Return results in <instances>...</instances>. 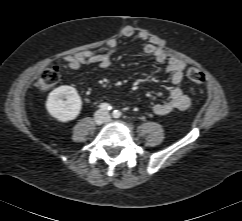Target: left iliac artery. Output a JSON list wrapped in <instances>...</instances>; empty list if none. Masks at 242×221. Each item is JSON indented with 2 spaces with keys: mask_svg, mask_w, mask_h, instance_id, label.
Wrapping results in <instances>:
<instances>
[{
  "mask_svg": "<svg viewBox=\"0 0 242 221\" xmlns=\"http://www.w3.org/2000/svg\"><path fill=\"white\" fill-rule=\"evenodd\" d=\"M112 115H113L114 118H119L121 116V112L118 111V110H114Z\"/></svg>",
  "mask_w": 242,
  "mask_h": 221,
  "instance_id": "1",
  "label": "left iliac artery"
}]
</instances>
